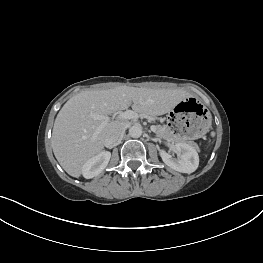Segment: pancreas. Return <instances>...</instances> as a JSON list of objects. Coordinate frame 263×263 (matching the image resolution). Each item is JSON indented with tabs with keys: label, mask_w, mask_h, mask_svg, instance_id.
I'll list each match as a JSON object with an SVG mask.
<instances>
[{
	"label": "pancreas",
	"mask_w": 263,
	"mask_h": 263,
	"mask_svg": "<svg viewBox=\"0 0 263 263\" xmlns=\"http://www.w3.org/2000/svg\"><path fill=\"white\" fill-rule=\"evenodd\" d=\"M156 134H157L158 137L166 139V140L177 139V140L184 141L182 138H177L174 135V132L171 130V128H169L168 126H165V125L164 126L157 125L156 126ZM187 143H189L190 145L194 146L195 148H198L197 143H195L193 141H187Z\"/></svg>",
	"instance_id": "obj_1"
}]
</instances>
